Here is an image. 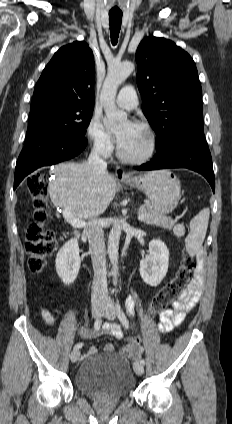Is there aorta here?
Wrapping results in <instances>:
<instances>
[{
  "instance_id": "aorta-1",
  "label": "aorta",
  "mask_w": 232,
  "mask_h": 424,
  "mask_svg": "<svg viewBox=\"0 0 232 424\" xmlns=\"http://www.w3.org/2000/svg\"><path fill=\"white\" fill-rule=\"evenodd\" d=\"M133 70L134 64L130 61L114 64L108 68L107 76L100 94V100L103 103L105 111L104 124L108 129L116 128L127 121L126 113L116 107L115 98L119 85L128 78ZM120 235L121 223L116 222L108 238V255L113 267L114 277H116L118 273V246Z\"/></svg>"
}]
</instances>
